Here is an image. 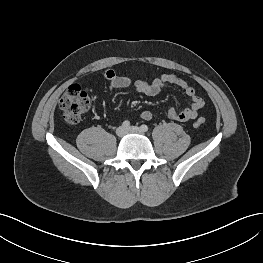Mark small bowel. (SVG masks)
I'll use <instances>...</instances> for the list:
<instances>
[{
    "label": "small bowel",
    "mask_w": 263,
    "mask_h": 263,
    "mask_svg": "<svg viewBox=\"0 0 263 263\" xmlns=\"http://www.w3.org/2000/svg\"><path fill=\"white\" fill-rule=\"evenodd\" d=\"M103 77L107 80L108 87L111 90L133 86L136 92L147 96H157L168 84L178 86L190 98V105L181 111L173 108L169 109L167 111V117L173 121L186 122L194 119L203 107V100L196 95L195 89L185 80L172 74H162L151 82L146 79L133 81L131 78L117 75L113 70L109 69L103 72ZM140 116L144 120H151L153 113L149 110H144Z\"/></svg>",
    "instance_id": "small-bowel-1"
}]
</instances>
